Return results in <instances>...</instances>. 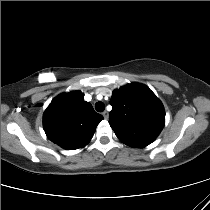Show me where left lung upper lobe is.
Masks as SVG:
<instances>
[{
	"instance_id": "left-lung-upper-lobe-1",
	"label": "left lung upper lobe",
	"mask_w": 210,
	"mask_h": 210,
	"mask_svg": "<svg viewBox=\"0 0 210 210\" xmlns=\"http://www.w3.org/2000/svg\"><path fill=\"white\" fill-rule=\"evenodd\" d=\"M109 124L116 136L130 147L152 143L165 124L160 100L145 85L132 83L113 91Z\"/></svg>"
}]
</instances>
